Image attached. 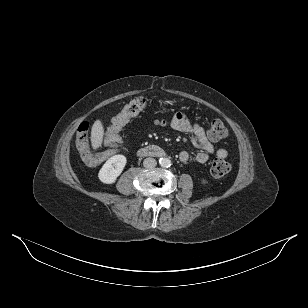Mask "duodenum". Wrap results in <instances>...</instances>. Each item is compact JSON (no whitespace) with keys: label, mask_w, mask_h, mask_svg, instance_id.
Listing matches in <instances>:
<instances>
[{"label":"duodenum","mask_w":308,"mask_h":308,"mask_svg":"<svg viewBox=\"0 0 308 308\" xmlns=\"http://www.w3.org/2000/svg\"><path fill=\"white\" fill-rule=\"evenodd\" d=\"M138 155L141 157H162L165 155V151L159 146L152 145L141 148Z\"/></svg>","instance_id":"1"}]
</instances>
